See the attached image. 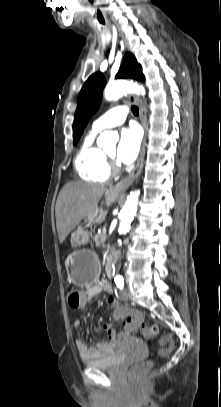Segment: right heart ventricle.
<instances>
[{
	"mask_svg": "<svg viewBox=\"0 0 221 407\" xmlns=\"http://www.w3.org/2000/svg\"><path fill=\"white\" fill-rule=\"evenodd\" d=\"M96 134L91 131L83 140L75 158V169L84 181L104 183L110 177V168L105 153L94 142Z\"/></svg>",
	"mask_w": 221,
	"mask_h": 407,
	"instance_id": "e07e8e85",
	"label": "right heart ventricle"
}]
</instances>
